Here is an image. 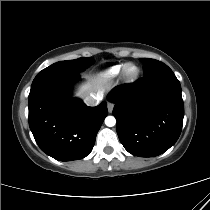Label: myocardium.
Instances as JSON below:
<instances>
[{
	"mask_svg": "<svg viewBox=\"0 0 210 210\" xmlns=\"http://www.w3.org/2000/svg\"><path fill=\"white\" fill-rule=\"evenodd\" d=\"M134 68L133 72H130V69ZM140 74V69L134 63H127L124 65L122 69V76L126 82H133L135 81Z\"/></svg>",
	"mask_w": 210,
	"mask_h": 210,
	"instance_id": "obj_1",
	"label": "myocardium"
}]
</instances>
